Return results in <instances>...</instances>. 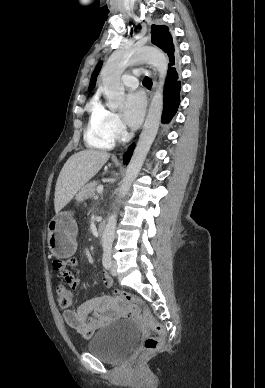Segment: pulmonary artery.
Here are the masks:
<instances>
[{"mask_svg":"<svg viewBox=\"0 0 265 388\" xmlns=\"http://www.w3.org/2000/svg\"><path fill=\"white\" fill-rule=\"evenodd\" d=\"M140 77L142 79H150L152 77V74L150 72H142L140 74ZM137 79H134L133 75H124L122 84L123 86H132L133 88L137 86Z\"/></svg>","mask_w":265,"mask_h":388,"instance_id":"1","label":"pulmonary artery"}]
</instances>
